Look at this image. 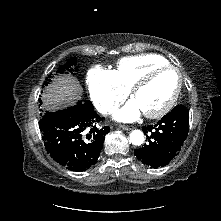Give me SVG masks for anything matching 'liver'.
I'll use <instances>...</instances> for the list:
<instances>
[{
  "instance_id": "1",
  "label": "liver",
  "mask_w": 221,
  "mask_h": 221,
  "mask_svg": "<svg viewBox=\"0 0 221 221\" xmlns=\"http://www.w3.org/2000/svg\"><path fill=\"white\" fill-rule=\"evenodd\" d=\"M44 102L48 107L57 108L63 104H71L79 98L81 87L69 77H60L47 89Z\"/></svg>"
}]
</instances>
